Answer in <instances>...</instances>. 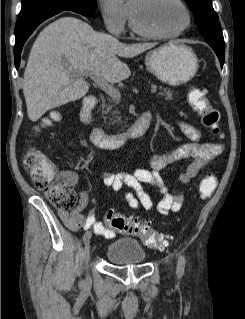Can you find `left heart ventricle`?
Masks as SVG:
<instances>
[{
    "instance_id": "obj_1",
    "label": "left heart ventricle",
    "mask_w": 245,
    "mask_h": 319,
    "mask_svg": "<svg viewBox=\"0 0 245 319\" xmlns=\"http://www.w3.org/2000/svg\"><path fill=\"white\" fill-rule=\"evenodd\" d=\"M141 21L148 29L161 33H171L181 29L186 23V14L175 0H129Z\"/></svg>"
}]
</instances>
